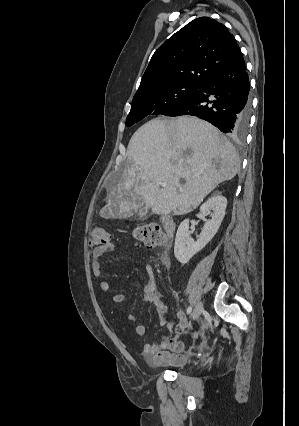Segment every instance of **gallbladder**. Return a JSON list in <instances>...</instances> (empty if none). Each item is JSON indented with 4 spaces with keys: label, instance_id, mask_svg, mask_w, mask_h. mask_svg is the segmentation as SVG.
<instances>
[{
    "label": "gallbladder",
    "instance_id": "1",
    "mask_svg": "<svg viewBox=\"0 0 299 426\" xmlns=\"http://www.w3.org/2000/svg\"><path fill=\"white\" fill-rule=\"evenodd\" d=\"M139 215L141 219H145L148 215V209L147 208H142L139 210Z\"/></svg>",
    "mask_w": 299,
    "mask_h": 426
}]
</instances>
